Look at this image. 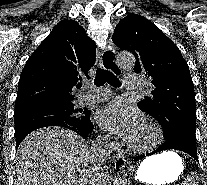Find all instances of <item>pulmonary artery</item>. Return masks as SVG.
Returning <instances> with one entry per match:
<instances>
[{"mask_svg": "<svg viewBox=\"0 0 207 185\" xmlns=\"http://www.w3.org/2000/svg\"><path fill=\"white\" fill-rule=\"evenodd\" d=\"M123 82H126L127 91H140V78L139 77H123ZM111 95L109 90L91 91L83 96L85 104L99 103L108 99Z\"/></svg>", "mask_w": 207, "mask_h": 185, "instance_id": "1", "label": "pulmonary artery"}]
</instances>
